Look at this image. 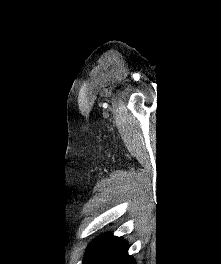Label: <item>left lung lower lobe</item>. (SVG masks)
I'll list each match as a JSON object with an SVG mask.
<instances>
[{"label": "left lung lower lobe", "mask_w": 221, "mask_h": 264, "mask_svg": "<svg viewBox=\"0 0 221 264\" xmlns=\"http://www.w3.org/2000/svg\"><path fill=\"white\" fill-rule=\"evenodd\" d=\"M127 251L125 240L105 234L89 244L83 264H135Z\"/></svg>", "instance_id": "1"}]
</instances>
